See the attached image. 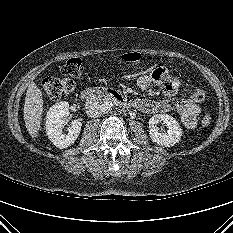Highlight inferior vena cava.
Segmentation results:
<instances>
[{
	"instance_id": "obj_1",
	"label": "inferior vena cava",
	"mask_w": 233,
	"mask_h": 233,
	"mask_svg": "<svg viewBox=\"0 0 233 233\" xmlns=\"http://www.w3.org/2000/svg\"><path fill=\"white\" fill-rule=\"evenodd\" d=\"M88 116L97 118L103 113V103L98 101H88L85 105Z\"/></svg>"
}]
</instances>
